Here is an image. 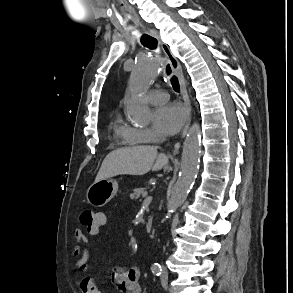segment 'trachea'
<instances>
[{"instance_id":"3493384b","label":"trachea","mask_w":293,"mask_h":293,"mask_svg":"<svg viewBox=\"0 0 293 293\" xmlns=\"http://www.w3.org/2000/svg\"><path fill=\"white\" fill-rule=\"evenodd\" d=\"M141 43L143 46L149 48V49H156L157 48V39L150 36V35H143L141 37ZM166 73L167 75H170L171 74V67L170 65L168 64L167 67H166ZM171 84H172V87L175 91H179V81H178V78L176 76H172L171 77Z\"/></svg>"}]
</instances>
